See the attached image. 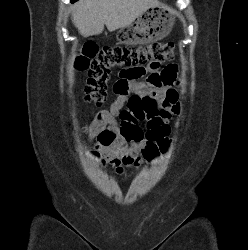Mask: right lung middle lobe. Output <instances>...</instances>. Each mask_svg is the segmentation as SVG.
Listing matches in <instances>:
<instances>
[{"label": "right lung middle lobe", "mask_w": 248, "mask_h": 250, "mask_svg": "<svg viewBox=\"0 0 248 250\" xmlns=\"http://www.w3.org/2000/svg\"><path fill=\"white\" fill-rule=\"evenodd\" d=\"M76 0H71V2L73 3V2H75Z\"/></svg>", "instance_id": "dd1d6c3e"}]
</instances>
